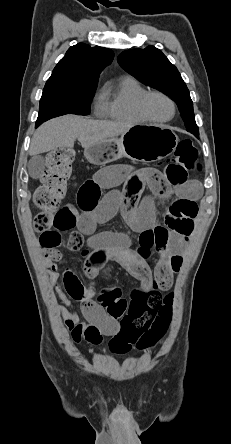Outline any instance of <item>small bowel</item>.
<instances>
[{"instance_id": "small-bowel-1", "label": "small bowel", "mask_w": 231, "mask_h": 444, "mask_svg": "<svg viewBox=\"0 0 231 444\" xmlns=\"http://www.w3.org/2000/svg\"><path fill=\"white\" fill-rule=\"evenodd\" d=\"M123 184L122 190L116 188ZM148 186L152 196L139 202ZM103 189L110 190L104 196ZM168 182L156 171L134 170L124 164H112L98 170L92 179L84 182L77 192L78 209L67 208L74 214L77 230L68 239V247L76 251L85 247L83 274L91 282L100 270H106L113 261L139 281L136 295L150 293L155 287L167 290L173 276L181 266V253L187 240L166 226L157 235L153 227L155 211L153 197L166 198L170 194ZM179 200L195 201L201 195V184L192 180L177 188ZM121 213L129 227L140 234V247L132 249L127 234L115 231H98L99 224ZM170 214L167 218L166 223ZM47 244L43 264L47 267L50 285L60 301L58 310L74 342L81 340L98 345L103 337L115 335L120 330V320L129 303L118 290L105 292L95 298V289L89 283L79 298L81 313L73 309L71 301L62 291L57 261L60 255L53 250L59 245L60 233L46 234ZM152 251L157 252L154 266L148 263ZM107 272V271H106Z\"/></svg>"}]
</instances>
